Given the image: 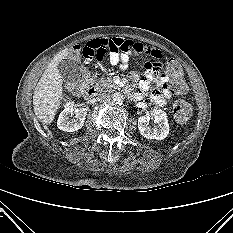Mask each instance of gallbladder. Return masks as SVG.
<instances>
[{
  "instance_id": "bac80fb5",
  "label": "gallbladder",
  "mask_w": 233,
  "mask_h": 233,
  "mask_svg": "<svg viewBox=\"0 0 233 233\" xmlns=\"http://www.w3.org/2000/svg\"><path fill=\"white\" fill-rule=\"evenodd\" d=\"M57 67L64 80L76 81L81 76L80 67L70 59H63L59 62Z\"/></svg>"
}]
</instances>
